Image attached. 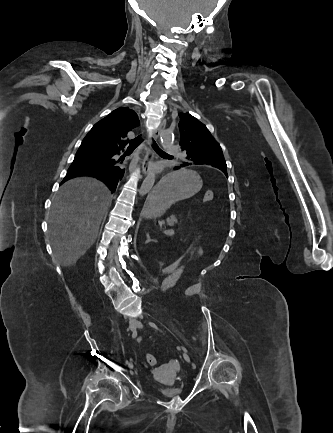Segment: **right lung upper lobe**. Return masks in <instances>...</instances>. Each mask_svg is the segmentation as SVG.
Returning a JSON list of instances; mask_svg holds the SVG:
<instances>
[{
  "label": "right lung upper lobe",
  "instance_id": "obj_1",
  "mask_svg": "<svg viewBox=\"0 0 333 433\" xmlns=\"http://www.w3.org/2000/svg\"><path fill=\"white\" fill-rule=\"evenodd\" d=\"M138 125L139 120L135 111L128 107H120L97 122L84 140L87 138L94 149L104 153L120 152L126 145L125 138L128 132Z\"/></svg>",
  "mask_w": 333,
  "mask_h": 433
}]
</instances>
